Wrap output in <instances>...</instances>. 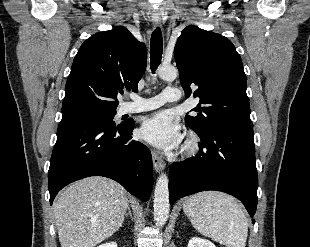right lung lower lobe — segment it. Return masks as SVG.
<instances>
[{"label":"right lung lower lobe","mask_w":310,"mask_h":247,"mask_svg":"<svg viewBox=\"0 0 310 247\" xmlns=\"http://www.w3.org/2000/svg\"><path fill=\"white\" fill-rule=\"evenodd\" d=\"M135 123L115 125L108 118L61 120L48 172L50 204L69 183L105 176L147 201L153 187L152 156L132 138Z\"/></svg>","instance_id":"obj_1"}]
</instances>
